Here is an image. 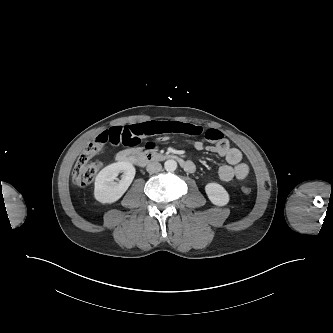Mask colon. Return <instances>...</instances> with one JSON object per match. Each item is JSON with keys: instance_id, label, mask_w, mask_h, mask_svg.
I'll list each match as a JSON object with an SVG mask.
<instances>
[{"instance_id": "5ec220e1", "label": "colon", "mask_w": 333, "mask_h": 333, "mask_svg": "<svg viewBox=\"0 0 333 333\" xmlns=\"http://www.w3.org/2000/svg\"><path fill=\"white\" fill-rule=\"evenodd\" d=\"M104 144L103 141L95 140L79 155L72 173L73 181L77 185L87 186L94 180L101 164L98 161H93V158L102 151ZM242 191L245 194L251 193V189L247 186H243Z\"/></svg>"}]
</instances>
